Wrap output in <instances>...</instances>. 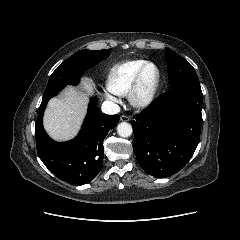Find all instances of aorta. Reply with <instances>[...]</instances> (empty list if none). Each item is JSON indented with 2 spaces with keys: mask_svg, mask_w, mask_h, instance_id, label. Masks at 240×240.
Returning a JSON list of instances; mask_svg holds the SVG:
<instances>
[{
  "mask_svg": "<svg viewBox=\"0 0 240 240\" xmlns=\"http://www.w3.org/2000/svg\"><path fill=\"white\" fill-rule=\"evenodd\" d=\"M117 132L121 137H129L132 134V126L127 122H121L117 126Z\"/></svg>",
  "mask_w": 240,
  "mask_h": 240,
  "instance_id": "aorta-1",
  "label": "aorta"
}]
</instances>
